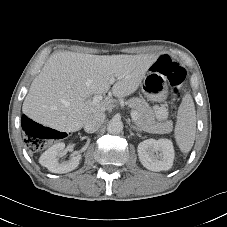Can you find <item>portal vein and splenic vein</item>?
<instances>
[{
	"label": "portal vein and splenic vein",
	"instance_id": "portal-vein-and-splenic-vein-1",
	"mask_svg": "<svg viewBox=\"0 0 227 227\" xmlns=\"http://www.w3.org/2000/svg\"><path fill=\"white\" fill-rule=\"evenodd\" d=\"M115 81H116V79H115L114 77H112V78L110 79V83H114ZM102 99H103V96H102V95H100V94L95 95V96L93 97L92 103H93V104H97V103H99ZM137 116H138L137 112H136L135 110H132V111H131V117H132V120H133V121H136V120H137Z\"/></svg>",
	"mask_w": 227,
	"mask_h": 227
}]
</instances>
